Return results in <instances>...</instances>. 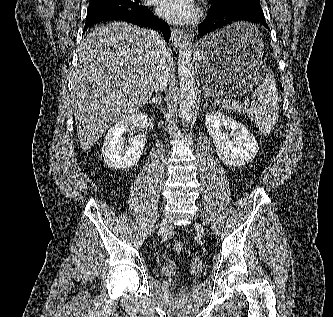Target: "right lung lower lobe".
Instances as JSON below:
<instances>
[{"instance_id": "1", "label": "right lung lower lobe", "mask_w": 333, "mask_h": 317, "mask_svg": "<svg viewBox=\"0 0 333 317\" xmlns=\"http://www.w3.org/2000/svg\"><path fill=\"white\" fill-rule=\"evenodd\" d=\"M103 21H124L136 24L145 28L159 30L162 32L166 42H169L170 28L168 24L155 17L146 6H141L137 10L128 11H99L87 14L84 27L85 32L88 27Z\"/></svg>"}]
</instances>
